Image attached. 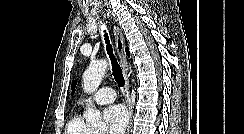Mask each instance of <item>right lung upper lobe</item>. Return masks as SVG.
<instances>
[{"instance_id": "cb5924a9", "label": "right lung upper lobe", "mask_w": 244, "mask_h": 134, "mask_svg": "<svg viewBox=\"0 0 244 134\" xmlns=\"http://www.w3.org/2000/svg\"><path fill=\"white\" fill-rule=\"evenodd\" d=\"M126 53L128 56L130 55L128 48H126Z\"/></svg>"}]
</instances>
